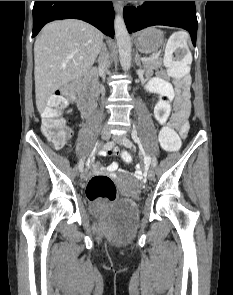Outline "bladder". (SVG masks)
Returning a JSON list of instances; mask_svg holds the SVG:
<instances>
[{"instance_id":"bladder-1","label":"bladder","mask_w":233,"mask_h":295,"mask_svg":"<svg viewBox=\"0 0 233 295\" xmlns=\"http://www.w3.org/2000/svg\"><path fill=\"white\" fill-rule=\"evenodd\" d=\"M116 207L122 213H134L136 209L134 202L131 200L119 202Z\"/></svg>"}]
</instances>
